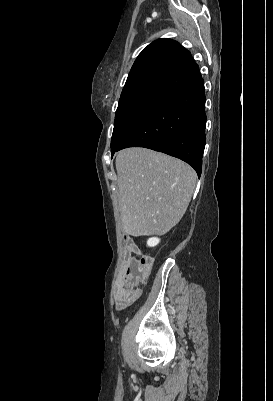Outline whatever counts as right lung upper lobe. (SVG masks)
I'll return each instance as SVG.
<instances>
[{"instance_id":"cb5924a9","label":"right lung upper lobe","mask_w":273,"mask_h":401,"mask_svg":"<svg viewBox=\"0 0 273 401\" xmlns=\"http://www.w3.org/2000/svg\"><path fill=\"white\" fill-rule=\"evenodd\" d=\"M199 76L198 65L188 50L174 40L158 39L137 57L121 97L146 92L167 96Z\"/></svg>"}]
</instances>
